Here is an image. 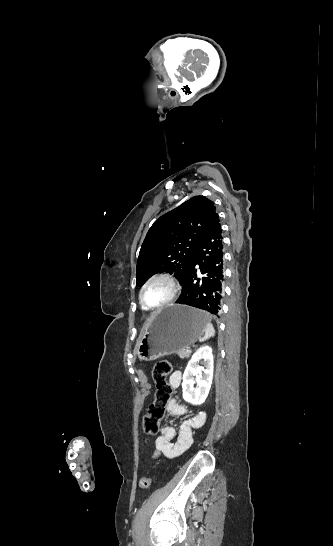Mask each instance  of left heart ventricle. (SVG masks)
Segmentation results:
<instances>
[{
    "instance_id": "left-heart-ventricle-1",
    "label": "left heart ventricle",
    "mask_w": 333,
    "mask_h": 546,
    "mask_svg": "<svg viewBox=\"0 0 333 546\" xmlns=\"http://www.w3.org/2000/svg\"><path fill=\"white\" fill-rule=\"evenodd\" d=\"M170 295L171 287L163 280L152 282L144 291V299L149 306H157L163 303Z\"/></svg>"
}]
</instances>
